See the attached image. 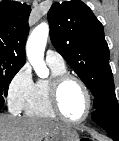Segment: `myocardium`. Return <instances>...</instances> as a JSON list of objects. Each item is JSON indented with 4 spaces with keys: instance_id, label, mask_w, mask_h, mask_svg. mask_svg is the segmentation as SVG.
I'll use <instances>...</instances> for the list:
<instances>
[{
    "instance_id": "obj_1",
    "label": "myocardium",
    "mask_w": 119,
    "mask_h": 141,
    "mask_svg": "<svg viewBox=\"0 0 119 141\" xmlns=\"http://www.w3.org/2000/svg\"><path fill=\"white\" fill-rule=\"evenodd\" d=\"M68 81H75L76 83H78L80 85V87L82 88L84 95H85V98H86V103H87L86 111H85L84 115L79 119L68 118L63 113L61 106H60V92H61L62 87ZM48 96H49V102H50V105H51L53 112L56 114V116H58L59 118H61L64 121H67L70 123H75V124L81 123V122L85 121L91 113L92 98H91L90 91H89L87 85L84 83V81L73 74L63 73V74L54 76L51 79L50 84H49Z\"/></svg>"
}]
</instances>
